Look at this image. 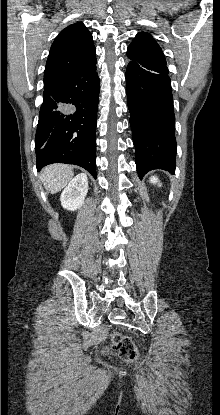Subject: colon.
Returning a JSON list of instances; mask_svg holds the SVG:
<instances>
[{
  "instance_id": "colon-1",
  "label": "colon",
  "mask_w": 220,
  "mask_h": 415,
  "mask_svg": "<svg viewBox=\"0 0 220 415\" xmlns=\"http://www.w3.org/2000/svg\"><path fill=\"white\" fill-rule=\"evenodd\" d=\"M112 348L114 352L126 362H133L137 359L138 353L133 340L121 334L120 332L114 331L111 334Z\"/></svg>"
}]
</instances>
